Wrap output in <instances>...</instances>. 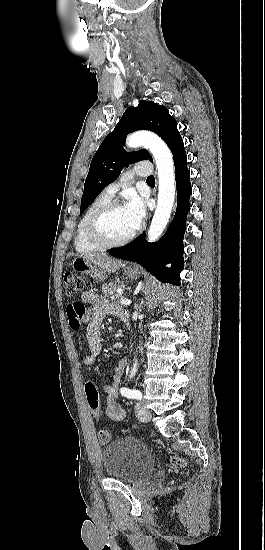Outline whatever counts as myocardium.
Instances as JSON below:
<instances>
[{
  "instance_id": "obj_1",
  "label": "myocardium",
  "mask_w": 265,
  "mask_h": 550,
  "mask_svg": "<svg viewBox=\"0 0 265 550\" xmlns=\"http://www.w3.org/2000/svg\"><path fill=\"white\" fill-rule=\"evenodd\" d=\"M124 207V205L118 201L110 200L104 205L96 209L89 217L86 224V236L96 246L100 248H115L126 245L136 235L137 229L131 232L126 237L120 240H109L102 231L101 223L103 219L112 211Z\"/></svg>"
}]
</instances>
